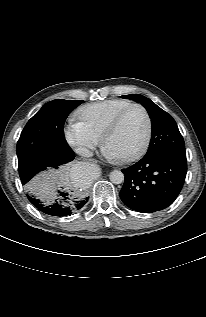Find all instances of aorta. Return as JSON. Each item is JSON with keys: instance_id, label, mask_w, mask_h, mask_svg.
Segmentation results:
<instances>
[{"instance_id": "obj_1", "label": "aorta", "mask_w": 206, "mask_h": 317, "mask_svg": "<svg viewBox=\"0 0 206 317\" xmlns=\"http://www.w3.org/2000/svg\"><path fill=\"white\" fill-rule=\"evenodd\" d=\"M94 170L95 168L92 165L85 164L82 166L80 176L83 179H88ZM109 179L113 184H121L124 181V174L120 170H114L110 173Z\"/></svg>"}]
</instances>
